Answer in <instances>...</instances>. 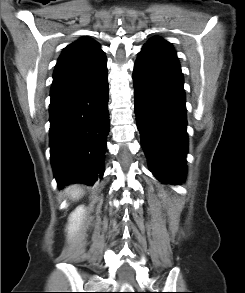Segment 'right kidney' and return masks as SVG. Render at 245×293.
Returning <instances> with one entry per match:
<instances>
[{
  "label": "right kidney",
  "mask_w": 245,
  "mask_h": 293,
  "mask_svg": "<svg viewBox=\"0 0 245 293\" xmlns=\"http://www.w3.org/2000/svg\"><path fill=\"white\" fill-rule=\"evenodd\" d=\"M83 212H84V207L79 206L75 209L74 212L71 213V215L69 217V226L67 228L69 233H73L74 231L77 230V228L81 222Z\"/></svg>",
  "instance_id": "obj_1"
}]
</instances>
